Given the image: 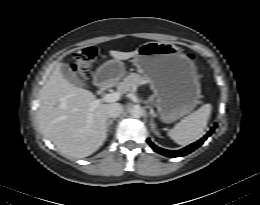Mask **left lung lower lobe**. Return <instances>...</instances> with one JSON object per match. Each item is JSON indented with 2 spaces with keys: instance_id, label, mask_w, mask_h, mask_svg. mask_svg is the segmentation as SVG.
Masks as SVG:
<instances>
[{
  "instance_id": "left-lung-lower-lobe-1",
  "label": "left lung lower lobe",
  "mask_w": 260,
  "mask_h": 205,
  "mask_svg": "<svg viewBox=\"0 0 260 205\" xmlns=\"http://www.w3.org/2000/svg\"><path fill=\"white\" fill-rule=\"evenodd\" d=\"M217 125L215 124V127ZM214 131V128H212L210 130V132L207 133V135H205L202 139H200L199 141L181 149V150H176V151H171V150H165L162 148L157 147L156 145H154L149 139L147 140V142L150 144V146L158 153L165 155L167 157H181V156H185L187 154H189L190 152L194 151L195 149H197L206 139L208 136H210L212 134V132Z\"/></svg>"
}]
</instances>
